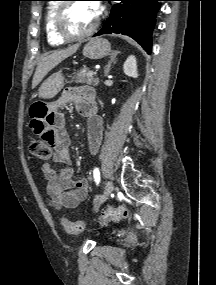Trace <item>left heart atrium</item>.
<instances>
[{"mask_svg": "<svg viewBox=\"0 0 216 285\" xmlns=\"http://www.w3.org/2000/svg\"><path fill=\"white\" fill-rule=\"evenodd\" d=\"M92 5H93V7H94V9H95V11H96V13H97V15H99V13H100V11H101L100 5H99L98 3H94V4H92Z\"/></svg>", "mask_w": 216, "mask_h": 285, "instance_id": "obj_1", "label": "left heart atrium"}]
</instances>
